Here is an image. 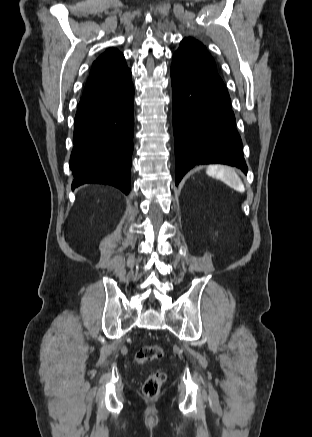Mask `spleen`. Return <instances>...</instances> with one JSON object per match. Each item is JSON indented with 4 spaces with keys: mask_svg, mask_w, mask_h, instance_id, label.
<instances>
[{
    "mask_svg": "<svg viewBox=\"0 0 312 437\" xmlns=\"http://www.w3.org/2000/svg\"><path fill=\"white\" fill-rule=\"evenodd\" d=\"M206 172L209 176L220 179L236 191L243 192L245 190L241 179L239 178L237 173L230 167L211 165L207 168Z\"/></svg>",
    "mask_w": 312,
    "mask_h": 437,
    "instance_id": "1",
    "label": "spleen"
}]
</instances>
